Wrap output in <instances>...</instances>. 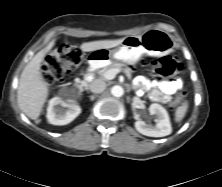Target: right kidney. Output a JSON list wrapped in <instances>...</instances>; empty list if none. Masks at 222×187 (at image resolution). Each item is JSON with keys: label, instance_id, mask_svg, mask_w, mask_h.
<instances>
[{"label": "right kidney", "instance_id": "obj_1", "mask_svg": "<svg viewBox=\"0 0 222 187\" xmlns=\"http://www.w3.org/2000/svg\"><path fill=\"white\" fill-rule=\"evenodd\" d=\"M80 113L81 108L75 102L64 101L59 97H54L49 101L47 119L53 125H66L73 121Z\"/></svg>", "mask_w": 222, "mask_h": 187}]
</instances>
